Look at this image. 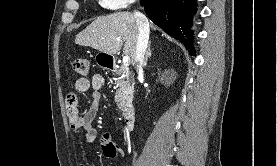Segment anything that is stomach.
<instances>
[{
    "label": "stomach",
    "instance_id": "0dacf381",
    "mask_svg": "<svg viewBox=\"0 0 277 166\" xmlns=\"http://www.w3.org/2000/svg\"><path fill=\"white\" fill-rule=\"evenodd\" d=\"M95 60L100 67L107 68V67L111 66L113 57H112V55H108L106 53L99 52L96 55Z\"/></svg>",
    "mask_w": 277,
    "mask_h": 166
}]
</instances>
